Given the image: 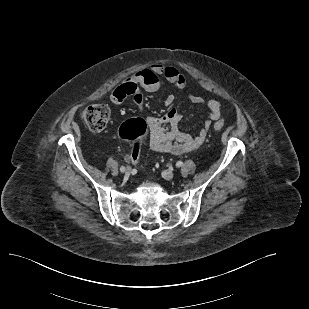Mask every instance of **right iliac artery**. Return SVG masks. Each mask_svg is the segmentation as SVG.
Wrapping results in <instances>:
<instances>
[{
    "mask_svg": "<svg viewBox=\"0 0 309 309\" xmlns=\"http://www.w3.org/2000/svg\"><path fill=\"white\" fill-rule=\"evenodd\" d=\"M120 171L124 172L125 171V167L124 166L120 167Z\"/></svg>",
    "mask_w": 309,
    "mask_h": 309,
    "instance_id": "obj_1",
    "label": "right iliac artery"
}]
</instances>
